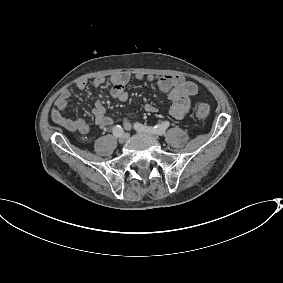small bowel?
<instances>
[{
    "label": "small bowel",
    "instance_id": "small-bowel-1",
    "mask_svg": "<svg viewBox=\"0 0 283 283\" xmlns=\"http://www.w3.org/2000/svg\"><path fill=\"white\" fill-rule=\"evenodd\" d=\"M133 78L137 81H147L155 83L158 90L168 94L171 102L168 113L174 119H183L190 109L191 98L198 92V87L195 82L187 80L180 75H152L144 73H136ZM132 76L128 72H120L110 77V93L112 97L121 102L128 99L126 87L131 81ZM105 83L104 77H97L93 81V86L98 88ZM88 86L86 79L79 80L76 87L79 90H84ZM71 97L69 90L65 89L55 101V106L51 112L53 121L60 126L70 130L79 132L83 139H86L89 134V125L82 118L67 117L65 112ZM143 110L148 113L157 112L155 105L147 103L143 106ZM95 123L100 129H105L113 124V119L106 114L105 107L100 100H96L93 109ZM123 125L126 130H130L132 125L129 117L123 119Z\"/></svg>",
    "mask_w": 283,
    "mask_h": 283
}]
</instances>
